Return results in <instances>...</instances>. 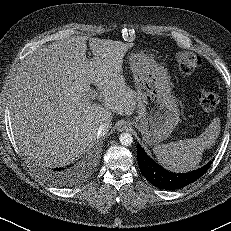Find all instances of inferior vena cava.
Returning <instances> with one entry per match:
<instances>
[{"instance_id":"inferior-vena-cava-1","label":"inferior vena cava","mask_w":231,"mask_h":231,"mask_svg":"<svg viewBox=\"0 0 231 231\" xmlns=\"http://www.w3.org/2000/svg\"><path fill=\"white\" fill-rule=\"evenodd\" d=\"M111 128L110 123H103L97 129V138L103 137Z\"/></svg>"}]
</instances>
